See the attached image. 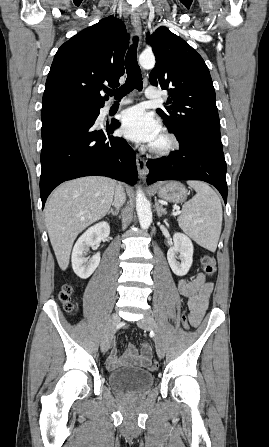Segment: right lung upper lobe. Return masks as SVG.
<instances>
[{"label": "right lung upper lobe", "mask_w": 269, "mask_h": 447, "mask_svg": "<svg viewBox=\"0 0 269 447\" xmlns=\"http://www.w3.org/2000/svg\"><path fill=\"white\" fill-rule=\"evenodd\" d=\"M129 44L124 23L109 16L65 42L55 54L46 80L42 108L93 102L104 104L105 85L118 86Z\"/></svg>", "instance_id": "right-lung-upper-lobe-1"}]
</instances>
